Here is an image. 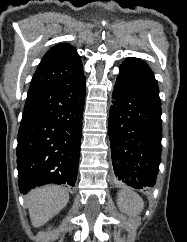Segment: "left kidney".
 Here are the masks:
<instances>
[{"label": "left kidney", "instance_id": "left-kidney-1", "mask_svg": "<svg viewBox=\"0 0 187 242\" xmlns=\"http://www.w3.org/2000/svg\"><path fill=\"white\" fill-rule=\"evenodd\" d=\"M117 205L122 212L129 215L139 214L144 207L143 200L139 195L125 189L119 191Z\"/></svg>", "mask_w": 187, "mask_h": 242}]
</instances>
